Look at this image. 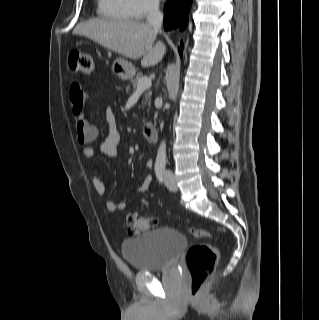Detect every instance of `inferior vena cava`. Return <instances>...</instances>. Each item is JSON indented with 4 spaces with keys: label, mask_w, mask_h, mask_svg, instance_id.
<instances>
[{
    "label": "inferior vena cava",
    "mask_w": 319,
    "mask_h": 320,
    "mask_svg": "<svg viewBox=\"0 0 319 320\" xmlns=\"http://www.w3.org/2000/svg\"><path fill=\"white\" fill-rule=\"evenodd\" d=\"M147 21L156 31L161 30L163 14L160 12L159 3L156 0H153L149 5Z\"/></svg>",
    "instance_id": "obj_1"
}]
</instances>
